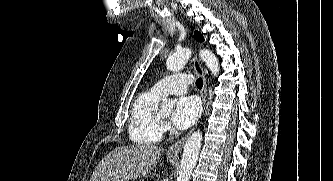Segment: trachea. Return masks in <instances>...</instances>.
<instances>
[{
	"mask_svg": "<svg viewBox=\"0 0 333 181\" xmlns=\"http://www.w3.org/2000/svg\"><path fill=\"white\" fill-rule=\"evenodd\" d=\"M196 86L201 89L203 87V80L202 78H198L196 81Z\"/></svg>",
	"mask_w": 333,
	"mask_h": 181,
	"instance_id": "obj_1",
	"label": "trachea"
}]
</instances>
